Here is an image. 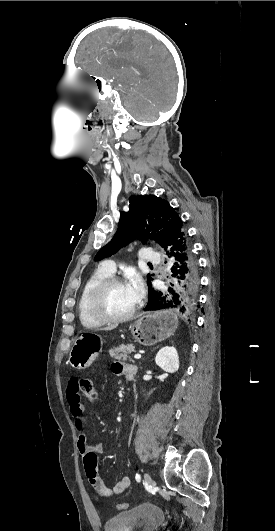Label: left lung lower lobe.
I'll list each match as a JSON object with an SVG mask.
<instances>
[{
  "label": "left lung lower lobe",
  "mask_w": 275,
  "mask_h": 531,
  "mask_svg": "<svg viewBox=\"0 0 275 531\" xmlns=\"http://www.w3.org/2000/svg\"><path fill=\"white\" fill-rule=\"evenodd\" d=\"M165 250L172 258L173 279L165 291H154L152 296L148 294L149 300L144 310L172 309L191 321L199 307L197 299L200 282L197 258L182 223L172 233Z\"/></svg>",
  "instance_id": "left-lung-lower-lobe-1"
}]
</instances>
